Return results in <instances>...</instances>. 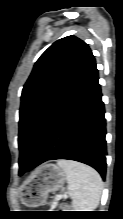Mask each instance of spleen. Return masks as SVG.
<instances>
[{
	"instance_id": "obj_1",
	"label": "spleen",
	"mask_w": 123,
	"mask_h": 219,
	"mask_svg": "<svg viewBox=\"0 0 123 219\" xmlns=\"http://www.w3.org/2000/svg\"><path fill=\"white\" fill-rule=\"evenodd\" d=\"M66 174L69 196L75 211H93L99 203L103 182L93 168L72 160H59Z\"/></svg>"
}]
</instances>
